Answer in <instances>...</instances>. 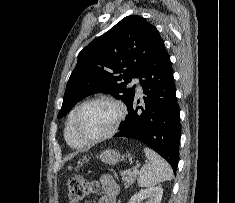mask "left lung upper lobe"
<instances>
[{"mask_svg":"<svg viewBox=\"0 0 235 203\" xmlns=\"http://www.w3.org/2000/svg\"><path fill=\"white\" fill-rule=\"evenodd\" d=\"M160 39L153 25L132 15L93 40L78 55L58 118L83 98L98 92L113 95L128 106L135 87L128 88L127 84L141 75Z\"/></svg>","mask_w":235,"mask_h":203,"instance_id":"left-lung-upper-lobe-1","label":"left lung upper lobe"}]
</instances>
